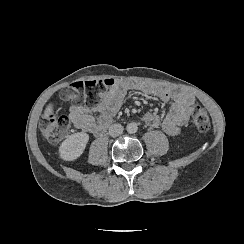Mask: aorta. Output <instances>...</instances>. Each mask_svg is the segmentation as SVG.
Here are the masks:
<instances>
[{
    "instance_id": "obj_1",
    "label": "aorta",
    "mask_w": 244,
    "mask_h": 244,
    "mask_svg": "<svg viewBox=\"0 0 244 244\" xmlns=\"http://www.w3.org/2000/svg\"><path fill=\"white\" fill-rule=\"evenodd\" d=\"M126 130L130 134L136 133L137 130H138V126H137V124L135 122H130V123L127 124Z\"/></svg>"
}]
</instances>
